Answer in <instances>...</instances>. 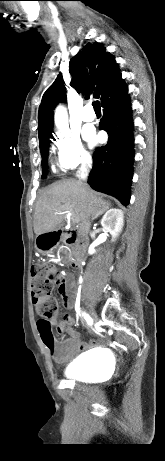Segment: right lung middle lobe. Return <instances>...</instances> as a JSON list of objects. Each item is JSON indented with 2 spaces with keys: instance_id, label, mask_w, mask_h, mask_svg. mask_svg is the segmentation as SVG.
Listing matches in <instances>:
<instances>
[{
  "instance_id": "dd1d6c3e",
  "label": "right lung middle lobe",
  "mask_w": 165,
  "mask_h": 461,
  "mask_svg": "<svg viewBox=\"0 0 165 461\" xmlns=\"http://www.w3.org/2000/svg\"><path fill=\"white\" fill-rule=\"evenodd\" d=\"M49 138H52V132L46 133L44 136L39 138L40 141V151L42 155V165L46 166V159L48 155V146H49ZM46 176V168L42 174V178Z\"/></svg>"
}]
</instances>
